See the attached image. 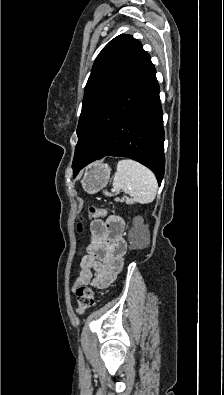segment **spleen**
<instances>
[{
    "label": "spleen",
    "mask_w": 224,
    "mask_h": 395,
    "mask_svg": "<svg viewBox=\"0 0 224 395\" xmlns=\"http://www.w3.org/2000/svg\"><path fill=\"white\" fill-rule=\"evenodd\" d=\"M113 188L116 194L123 191L135 202L147 204L155 199L158 184L154 173L147 167L131 159H123L117 164ZM104 194L111 196L107 191Z\"/></svg>",
    "instance_id": "3e777b00"
}]
</instances>
